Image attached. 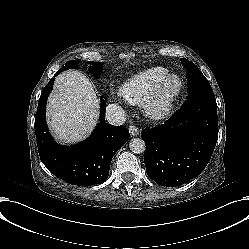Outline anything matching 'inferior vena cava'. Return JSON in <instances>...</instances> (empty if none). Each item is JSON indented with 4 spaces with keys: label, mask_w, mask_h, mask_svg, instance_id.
Returning a JSON list of instances; mask_svg holds the SVG:
<instances>
[{
    "label": "inferior vena cava",
    "mask_w": 249,
    "mask_h": 249,
    "mask_svg": "<svg viewBox=\"0 0 249 249\" xmlns=\"http://www.w3.org/2000/svg\"><path fill=\"white\" fill-rule=\"evenodd\" d=\"M106 120L111 125H122L126 121V113L118 104H109L106 109Z\"/></svg>",
    "instance_id": "602c4592"
}]
</instances>
